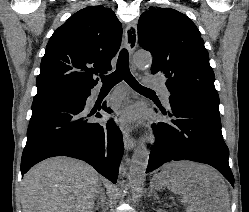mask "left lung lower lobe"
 I'll use <instances>...</instances> for the list:
<instances>
[{
    "label": "left lung lower lobe",
    "instance_id": "0a47b994",
    "mask_svg": "<svg viewBox=\"0 0 249 212\" xmlns=\"http://www.w3.org/2000/svg\"><path fill=\"white\" fill-rule=\"evenodd\" d=\"M169 103L168 111L159 106L167 119L152 124L156 141L146 173L169 161L190 160L213 166L234 186L219 104L187 95H171Z\"/></svg>",
    "mask_w": 249,
    "mask_h": 212
}]
</instances>
